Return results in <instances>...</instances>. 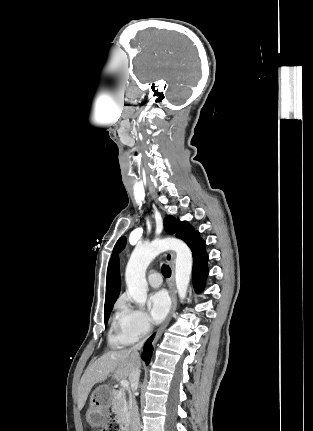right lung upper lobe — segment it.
I'll list each match as a JSON object with an SVG mask.
<instances>
[{
  "mask_svg": "<svg viewBox=\"0 0 313 431\" xmlns=\"http://www.w3.org/2000/svg\"><path fill=\"white\" fill-rule=\"evenodd\" d=\"M120 286L119 258L113 254L107 269L105 308L113 306L119 296Z\"/></svg>",
  "mask_w": 313,
  "mask_h": 431,
  "instance_id": "1",
  "label": "right lung upper lobe"
}]
</instances>
